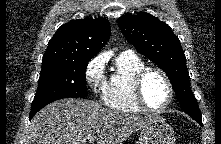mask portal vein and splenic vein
<instances>
[{
    "label": "portal vein and splenic vein",
    "mask_w": 221,
    "mask_h": 144,
    "mask_svg": "<svg viewBox=\"0 0 221 144\" xmlns=\"http://www.w3.org/2000/svg\"><path fill=\"white\" fill-rule=\"evenodd\" d=\"M95 137L89 138V143H92L94 141Z\"/></svg>",
    "instance_id": "18ae733b"
}]
</instances>
